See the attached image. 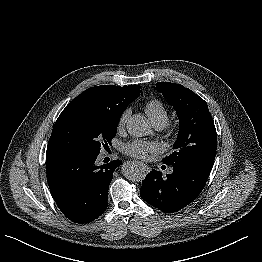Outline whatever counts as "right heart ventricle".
I'll list each match as a JSON object with an SVG mask.
<instances>
[{
	"mask_svg": "<svg viewBox=\"0 0 262 262\" xmlns=\"http://www.w3.org/2000/svg\"><path fill=\"white\" fill-rule=\"evenodd\" d=\"M145 112L154 126H165L168 122V111L162 102L153 99L146 103Z\"/></svg>",
	"mask_w": 262,
	"mask_h": 262,
	"instance_id": "right-heart-ventricle-1",
	"label": "right heart ventricle"
}]
</instances>
